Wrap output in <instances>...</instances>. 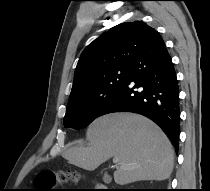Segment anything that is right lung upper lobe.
<instances>
[{"label":"right lung upper lobe","mask_w":210,"mask_h":191,"mask_svg":"<svg viewBox=\"0 0 210 191\" xmlns=\"http://www.w3.org/2000/svg\"><path fill=\"white\" fill-rule=\"evenodd\" d=\"M157 34L154 28L140 21L121 23L103 33L82 52L70 97L85 90L102 72L130 66Z\"/></svg>","instance_id":"cb5924a9"}]
</instances>
